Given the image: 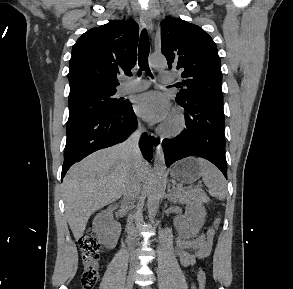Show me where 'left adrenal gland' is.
Here are the masks:
<instances>
[{
  "instance_id": "1",
  "label": "left adrenal gland",
  "mask_w": 293,
  "mask_h": 289,
  "mask_svg": "<svg viewBox=\"0 0 293 289\" xmlns=\"http://www.w3.org/2000/svg\"><path fill=\"white\" fill-rule=\"evenodd\" d=\"M168 194H167V198H168V200H170L171 202L173 201L172 200V197H171V193H172V190H171V188H170V185L168 186ZM174 202V201H173Z\"/></svg>"
}]
</instances>
